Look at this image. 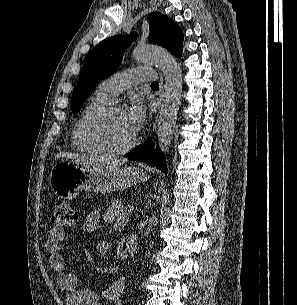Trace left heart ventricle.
Returning <instances> with one entry per match:
<instances>
[{"instance_id": "obj_1", "label": "left heart ventricle", "mask_w": 297, "mask_h": 305, "mask_svg": "<svg viewBox=\"0 0 297 305\" xmlns=\"http://www.w3.org/2000/svg\"><path fill=\"white\" fill-rule=\"evenodd\" d=\"M95 131L100 140L111 148L122 147L135 136L123 111L113 112L101 120L97 124Z\"/></svg>"}]
</instances>
